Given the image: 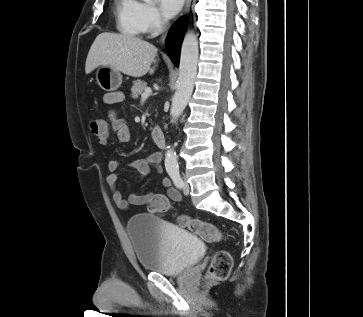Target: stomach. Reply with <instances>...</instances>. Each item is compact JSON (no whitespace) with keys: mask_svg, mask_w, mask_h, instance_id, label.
<instances>
[{"mask_svg":"<svg viewBox=\"0 0 363 317\" xmlns=\"http://www.w3.org/2000/svg\"><path fill=\"white\" fill-rule=\"evenodd\" d=\"M96 80L103 90L115 91L122 83V75L108 65H101L96 71Z\"/></svg>","mask_w":363,"mask_h":317,"instance_id":"obj_1","label":"stomach"}]
</instances>
